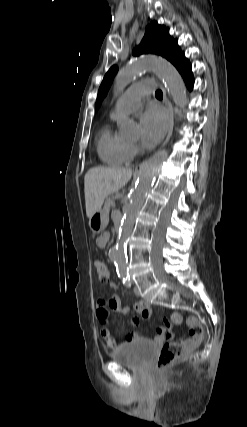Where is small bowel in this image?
Listing matches in <instances>:
<instances>
[{
    "label": "small bowel",
    "instance_id": "small-bowel-1",
    "mask_svg": "<svg viewBox=\"0 0 247 427\" xmlns=\"http://www.w3.org/2000/svg\"><path fill=\"white\" fill-rule=\"evenodd\" d=\"M109 238H110L109 233H103L97 239L98 246L99 247L106 246V244L109 241ZM109 286L113 289H117V285L113 282H111ZM133 309L144 319H148L151 316V308L149 303H147L146 301H139L135 303ZM129 310L130 309L128 307H124L122 305L121 299L116 295L111 296L109 299H100L97 304L96 315L101 324V334H102V337L104 338L106 347L111 351L120 349L126 344L138 339V334L136 332H129L125 336V341L121 344H118L108 327L111 311H114L120 314H127ZM139 323H140L139 317H134L130 321V324L132 326H138ZM181 323H182V316L178 312H172L170 315V319L163 318L161 320V323L156 327V333L154 336L155 341L163 342L165 340L172 339L174 336L172 331V325L173 324L178 325Z\"/></svg>",
    "mask_w": 247,
    "mask_h": 427
}]
</instances>
